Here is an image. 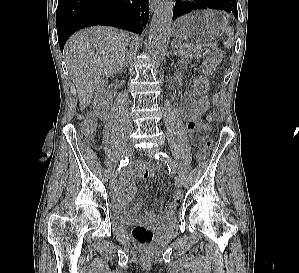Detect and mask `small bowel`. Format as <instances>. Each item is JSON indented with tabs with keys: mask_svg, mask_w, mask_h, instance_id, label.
<instances>
[{
	"mask_svg": "<svg viewBox=\"0 0 299 273\" xmlns=\"http://www.w3.org/2000/svg\"><path fill=\"white\" fill-rule=\"evenodd\" d=\"M194 98L191 94L187 93L183 98L180 105L181 115L186 122V126L195 141L202 139L203 135L207 132V126L202 121H197L193 118ZM156 171L155 166L149 164H139L130 170L123 178L120 187L116 190V200L120 210L126 212L129 201L133 198L136 188L130 183L136 179H147L154 175ZM142 208V203L136 205V211ZM175 213V205L170 204L165 207L163 217L165 220L173 217ZM143 219L148 222H155L156 218L153 213H146Z\"/></svg>",
	"mask_w": 299,
	"mask_h": 273,
	"instance_id": "small-bowel-1",
	"label": "small bowel"
}]
</instances>
